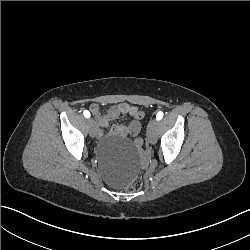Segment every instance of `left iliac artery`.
I'll return each mask as SVG.
<instances>
[{
    "instance_id": "left-iliac-artery-1",
    "label": "left iliac artery",
    "mask_w": 250,
    "mask_h": 250,
    "mask_svg": "<svg viewBox=\"0 0 250 250\" xmlns=\"http://www.w3.org/2000/svg\"><path fill=\"white\" fill-rule=\"evenodd\" d=\"M162 117H163V112H161V111L158 112L157 115H156V119H157V120H161Z\"/></svg>"
}]
</instances>
